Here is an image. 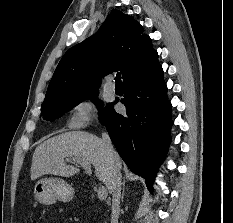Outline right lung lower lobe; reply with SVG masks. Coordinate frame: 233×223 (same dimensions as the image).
<instances>
[{
	"mask_svg": "<svg viewBox=\"0 0 233 223\" xmlns=\"http://www.w3.org/2000/svg\"><path fill=\"white\" fill-rule=\"evenodd\" d=\"M121 102L126 114H118L113 103L100 111L99 119L121 158L132 172L146 179L149 190L170 141L171 103L159 62L124 81Z\"/></svg>",
	"mask_w": 233,
	"mask_h": 223,
	"instance_id": "98d812e1",
	"label": "right lung lower lobe"
}]
</instances>
